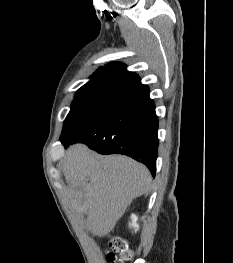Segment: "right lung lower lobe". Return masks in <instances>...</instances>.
<instances>
[{
  "label": "right lung lower lobe",
  "mask_w": 233,
  "mask_h": 263,
  "mask_svg": "<svg viewBox=\"0 0 233 263\" xmlns=\"http://www.w3.org/2000/svg\"><path fill=\"white\" fill-rule=\"evenodd\" d=\"M158 118L147 85H140L121 95L89 129L72 140L61 141L64 147L85 143L101 154H124L145 164L156 173L159 140Z\"/></svg>",
  "instance_id": "obj_1"
}]
</instances>
